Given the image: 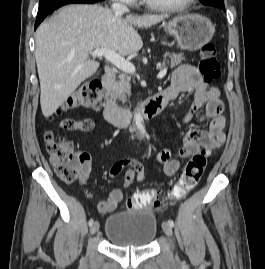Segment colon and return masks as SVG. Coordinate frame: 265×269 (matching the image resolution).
I'll use <instances>...</instances> for the list:
<instances>
[{
  "mask_svg": "<svg viewBox=\"0 0 265 269\" xmlns=\"http://www.w3.org/2000/svg\"><path fill=\"white\" fill-rule=\"evenodd\" d=\"M198 68L206 82H213L221 75V66L216 56L215 46L205 44L200 53ZM102 99V86L98 81H91L79 88L67 99L64 109L93 108L99 109ZM88 126L84 119H68L61 123L65 130H83ZM46 149L50 161L59 179L65 183H73L81 175L82 157L79 156L70 141L49 132L45 136ZM207 165V152L201 151L194 155L186 164L177 183L169 194L172 199L180 200L191 192L200 181ZM163 196L157 190H141L127 200V207L140 209L158 207Z\"/></svg>",
  "mask_w": 265,
  "mask_h": 269,
  "instance_id": "obj_1",
  "label": "colon"
}]
</instances>
